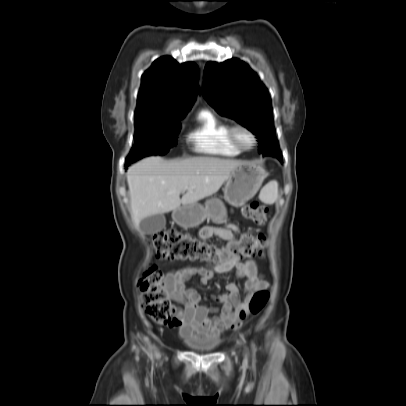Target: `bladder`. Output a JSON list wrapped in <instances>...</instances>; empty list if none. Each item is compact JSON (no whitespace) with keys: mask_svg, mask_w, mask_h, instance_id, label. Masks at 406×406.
Here are the masks:
<instances>
[{"mask_svg":"<svg viewBox=\"0 0 406 406\" xmlns=\"http://www.w3.org/2000/svg\"><path fill=\"white\" fill-rule=\"evenodd\" d=\"M183 342L190 351L195 353H209L218 346V342L213 339L199 337H184Z\"/></svg>","mask_w":406,"mask_h":406,"instance_id":"bladder-1","label":"bladder"}]
</instances>
